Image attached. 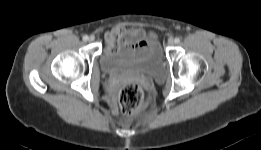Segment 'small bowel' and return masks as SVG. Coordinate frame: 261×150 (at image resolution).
Listing matches in <instances>:
<instances>
[{
  "label": "small bowel",
  "instance_id": "obj_1",
  "mask_svg": "<svg viewBox=\"0 0 261 150\" xmlns=\"http://www.w3.org/2000/svg\"><path fill=\"white\" fill-rule=\"evenodd\" d=\"M140 32L138 30H125L116 28L109 36V45L116 46L119 44L132 45L137 48H144L147 42L139 39Z\"/></svg>",
  "mask_w": 261,
  "mask_h": 150
}]
</instances>
